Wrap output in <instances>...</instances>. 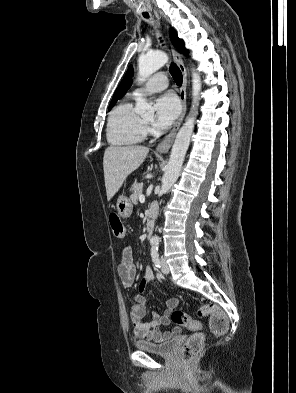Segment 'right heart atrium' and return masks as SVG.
<instances>
[{
  "instance_id": "1",
  "label": "right heart atrium",
  "mask_w": 296,
  "mask_h": 393,
  "mask_svg": "<svg viewBox=\"0 0 296 393\" xmlns=\"http://www.w3.org/2000/svg\"><path fill=\"white\" fill-rule=\"evenodd\" d=\"M145 130H146L147 132H150V131H151V129H150L149 127H146Z\"/></svg>"
}]
</instances>
